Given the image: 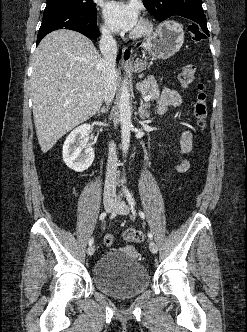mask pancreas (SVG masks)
<instances>
[{
	"instance_id": "pancreas-1",
	"label": "pancreas",
	"mask_w": 247,
	"mask_h": 332,
	"mask_svg": "<svg viewBox=\"0 0 247 332\" xmlns=\"http://www.w3.org/2000/svg\"><path fill=\"white\" fill-rule=\"evenodd\" d=\"M137 89L142 93V95H150L154 100L160 97L159 86L154 77H148L147 79L137 83Z\"/></svg>"
}]
</instances>
